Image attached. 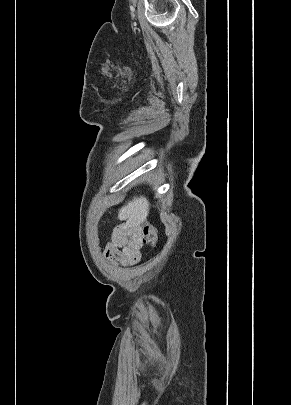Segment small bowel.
<instances>
[{
    "mask_svg": "<svg viewBox=\"0 0 291 405\" xmlns=\"http://www.w3.org/2000/svg\"><path fill=\"white\" fill-rule=\"evenodd\" d=\"M141 227L130 223L117 226L106 246L105 256L123 265L137 264L141 259Z\"/></svg>",
    "mask_w": 291,
    "mask_h": 405,
    "instance_id": "1",
    "label": "small bowel"
}]
</instances>
